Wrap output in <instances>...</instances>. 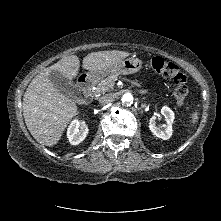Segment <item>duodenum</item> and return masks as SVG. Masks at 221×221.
<instances>
[{
  "instance_id": "410a0bca",
  "label": "duodenum",
  "mask_w": 221,
  "mask_h": 221,
  "mask_svg": "<svg viewBox=\"0 0 221 221\" xmlns=\"http://www.w3.org/2000/svg\"><path fill=\"white\" fill-rule=\"evenodd\" d=\"M78 86L83 94L85 102H90L92 99V80L91 77L87 74H83L78 79Z\"/></svg>"
}]
</instances>
